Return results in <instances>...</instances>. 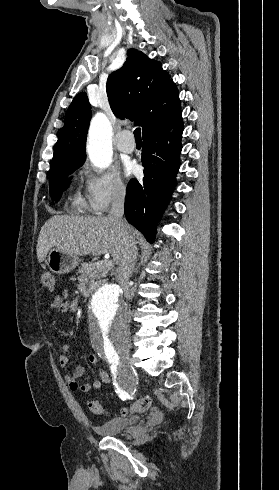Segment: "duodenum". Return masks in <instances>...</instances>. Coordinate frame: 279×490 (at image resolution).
I'll use <instances>...</instances> for the list:
<instances>
[{"label": "duodenum", "mask_w": 279, "mask_h": 490, "mask_svg": "<svg viewBox=\"0 0 279 490\" xmlns=\"http://www.w3.org/2000/svg\"><path fill=\"white\" fill-rule=\"evenodd\" d=\"M101 285V282L99 281H96L94 283H92L86 290H85V293H84V296L85 297H90L92 295V293Z\"/></svg>", "instance_id": "obj_1"}]
</instances>
